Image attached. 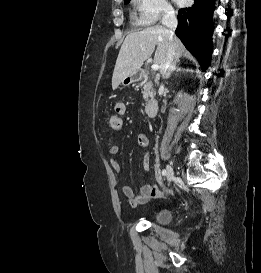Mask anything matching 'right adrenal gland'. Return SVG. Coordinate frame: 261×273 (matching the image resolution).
I'll list each match as a JSON object with an SVG mask.
<instances>
[{
  "label": "right adrenal gland",
  "instance_id": "1",
  "mask_svg": "<svg viewBox=\"0 0 261 273\" xmlns=\"http://www.w3.org/2000/svg\"><path fill=\"white\" fill-rule=\"evenodd\" d=\"M177 63H179V60H175V63H174V67L172 68V69H170L169 71H168V73L166 74V79H168L170 76H171V73L172 72H174V71H176V72H178V71H180V68H177L176 67V64Z\"/></svg>",
  "mask_w": 261,
  "mask_h": 273
}]
</instances>
